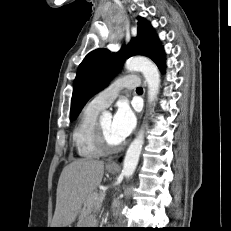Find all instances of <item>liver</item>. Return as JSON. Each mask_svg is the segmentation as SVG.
Instances as JSON below:
<instances>
[{
  "label": "liver",
  "mask_w": 231,
  "mask_h": 231,
  "mask_svg": "<svg viewBox=\"0 0 231 231\" xmlns=\"http://www.w3.org/2000/svg\"><path fill=\"white\" fill-rule=\"evenodd\" d=\"M104 174V162L81 158L71 162L61 172L56 197V208L52 228L70 226L82 213L86 218L88 211L82 209L87 199L100 185Z\"/></svg>",
  "instance_id": "1"
}]
</instances>
